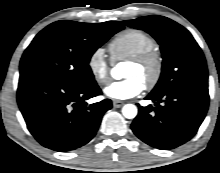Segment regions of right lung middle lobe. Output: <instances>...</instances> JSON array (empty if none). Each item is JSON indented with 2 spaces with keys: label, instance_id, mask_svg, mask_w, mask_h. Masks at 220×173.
<instances>
[{
  "label": "right lung middle lobe",
  "instance_id": "dd1d6c3e",
  "mask_svg": "<svg viewBox=\"0 0 220 173\" xmlns=\"http://www.w3.org/2000/svg\"><path fill=\"white\" fill-rule=\"evenodd\" d=\"M123 27L118 21L100 24L57 21L44 28L25 50L20 76H47L71 85L95 82L89 66L93 53Z\"/></svg>",
  "mask_w": 220,
  "mask_h": 173
}]
</instances>
